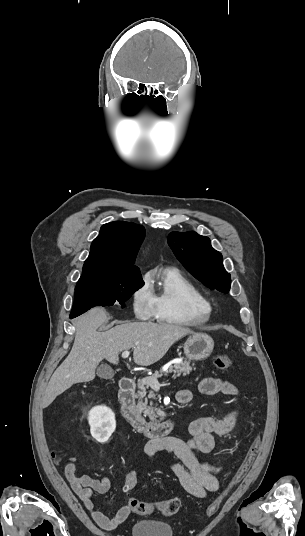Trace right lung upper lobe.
Here are the masks:
<instances>
[{
	"instance_id": "right-lung-upper-lobe-1",
	"label": "right lung upper lobe",
	"mask_w": 305,
	"mask_h": 536,
	"mask_svg": "<svg viewBox=\"0 0 305 536\" xmlns=\"http://www.w3.org/2000/svg\"><path fill=\"white\" fill-rule=\"evenodd\" d=\"M144 236V227L134 223L115 221L103 225L92 242L81 277H142L133 264Z\"/></svg>"
}]
</instances>
